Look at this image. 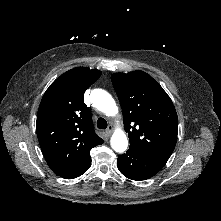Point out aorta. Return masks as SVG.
Returning <instances> with one entry per match:
<instances>
[{
  "label": "aorta",
  "instance_id": "obj_1",
  "mask_svg": "<svg viewBox=\"0 0 221 221\" xmlns=\"http://www.w3.org/2000/svg\"><path fill=\"white\" fill-rule=\"evenodd\" d=\"M92 101L94 107L103 112L107 116H115L118 108L113 97L105 90L94 89L92 91ZM111 147L118 153L124 152L128 147L127 136L121 129L115 130L111 137Z\"/></svg>",
  "mask_w": 221,
  "mask_h": 221
}]
</instances>
